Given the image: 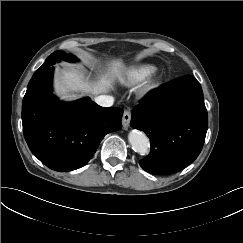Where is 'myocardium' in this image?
<instances>
[{
    "label": "myocardium",
    "instance_id": "obj_1",
    "mask_svg": "<svg viewBox=\"0 0 243 243\" xmlns=\"http://www.w3.org/2000/svg\"><path fill=\"white\" fill-rule=\"evenodd\" d=\"M159 83V77L158 76H151L143 85L141 92L142 94H147L149 92H151L152 90H154Z\"/></svg>",
    "mask_w": 243,
    "mask_h": 243
}]
</instances>
